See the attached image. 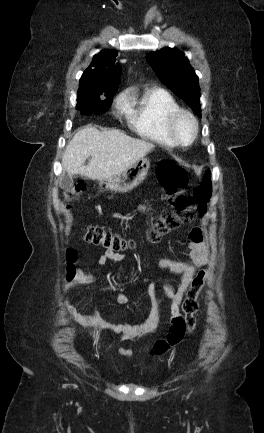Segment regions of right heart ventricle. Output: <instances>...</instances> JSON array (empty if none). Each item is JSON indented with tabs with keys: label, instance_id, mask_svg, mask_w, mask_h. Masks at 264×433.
<instances>
[{
	"label": "right heart ventricle",
	"instance_id": "e07e8e85",
	"mask_svg": "<svg viewBox=\"0 0 264 433\" xmlns=\"http://www.w3.org/2000/svg\"><path fill=\"white\" fill-rule=\"evenodd\" d=\"M127 100V123L136 135L165 146L175 145L165 130V118L179 105L169 92L149 89Z\"/></svg>",
	"mask_w": 264,
	"mask_h": 433
}]
</instances>
